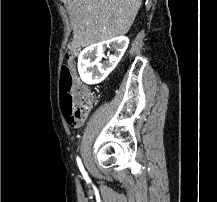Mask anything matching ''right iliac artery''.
Here are the masks:
<instances>
[{
  "mask_svg": "<svg viewBox=\"0 0 217 202\" xmlns=\"http://www.w3.org/2000/svg\"><path fill=\"white\" fill-rule=\"evenodd\" d=\"M77 163H82L79 157H77Z\"/></svg>",
  "mask_w": 217,
  "mask_h": 202,
  "instance_id": "obj_1",
  "label": "right iliac artery"
}]
</instances>
